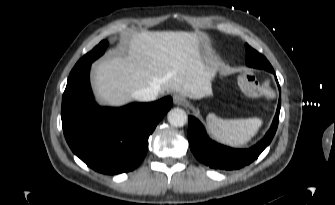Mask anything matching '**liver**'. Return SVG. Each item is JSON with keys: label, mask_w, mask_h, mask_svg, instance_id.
Listing matches in <instances>:
<instances>
[{"label": "liver", "mask_w": 335, "mask_h": 205, "mask_svg": "<svg viewBox=\"0 0 335 205\" xmlns=\"http://www.w3.org/2000/svg\"><path fill=\"white\" fill-rule=\"evenodd\" d=\"M201 37L184 31L133 34L119 53L94 66L93 89L98 100L121 106L135 91L156 87L158 93H181L200 99L211 91L218 66L200 51Z\"/></svg>", "instance_id": "1"}]
</instances>
